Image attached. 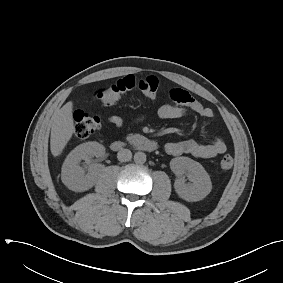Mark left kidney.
<instances>
[{"instance_id": "obj_1", "label": "left kidney", "mask_w": 283, "mask_h": 283, "mask_svg": "<svg viewBox=\"0 0 283 283\" xmlns=\"http://www.w3.org/2000/svg\"><path fill=\"white\" fill-rule=\"evenodd\" d=\"M170 168L178 177L175 180L174 188L182 199L191 202L200 201L211 192L210 176L200 163L188 157H177L170 161ZM186 172L191 184H186L182 177Z\"/></svg>"}]
</instances>
